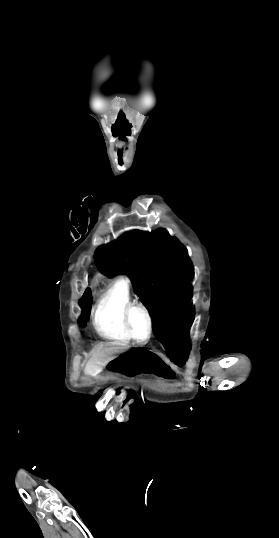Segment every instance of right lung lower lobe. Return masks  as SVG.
Returning <instances> with one entry per match:
<instances>
[{
	"label": "right lung lower lobe",
	"mask_w": 279,
	"mask_h": 538,
	"mask_svg": "<svg viewBox=\"0 0 279 538\" xmlns=\"http://www.w3.org/2000/svg\"><path fill=\"white\" fill-rule=\"evenodd\" d=\"M91 299H92L91 290H90V288H87L86 291L84 292L83 296L79 300V304H80V306L82 308V311H83L82 316L80 318V324H82V325H85L86 322H87L88 309L92 304Z\"/></svg>",
	"instance_id": "1"
}]
</instances>
